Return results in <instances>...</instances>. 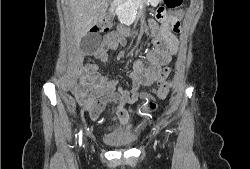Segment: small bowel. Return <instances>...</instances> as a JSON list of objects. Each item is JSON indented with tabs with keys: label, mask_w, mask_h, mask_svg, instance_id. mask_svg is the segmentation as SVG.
Masks as SVG:
<instances>
[{
	"label": "small bowel",
	"mask_w": 250,
	"mask_h": 169,
	"mask_svg": "<svg viewBox=\"0 0 250 169\" xmlns=\"http://www.w3.org/2000/svg\"><path fill=\"white\" fill-rule=\"evenodd\" d=\"M176 16H167L162 22L160 35L154 40V47L147 53L148 66H144L141 61H135L133 64L132 97L130 92L119 86L116 79H108L98 72L97 66L93 63H86L82 70L88 81L75 90V98L82 108L87 111L92 118H96L103 111L105 105L110 102H119L120 106L117 112L116 120L120 125L130 130L132 126V113L126 108V105L133 99L151 98L152 95H159L160 99L166 97L170 91L171 81L169 78L171 72V62L177 52L178 42L172 33V28L176 25ZM124 42L125 39L119 36L107 35L100 45L93 49L89 54L92 61L107 62V53L116 49L117 42ZM125 51L117 53V59L123 65H127L124 60ZM158 84V89L154 90L152 95L139 92L141 84Z\"/></svg>",
	"instance_id": "obj_1"
}]
</instances>
